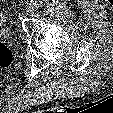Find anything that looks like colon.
<instances>
[{
	"label": "colon",
	"instance_id": "obj_1",
	"mask_svg": "<svg viewBox=\"0 0 113 113\" xmlns=\"http://www.w3.org/2000/svg\"><path fill=\"white\" fill-rule=\"evenodd\" d=\"M12 60V50L7 45L0 43V69L8 67Z\"/></svg>",
	"mask_w": 113,
	"mask_h": 113
}]
</instances>
